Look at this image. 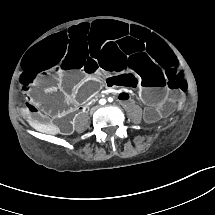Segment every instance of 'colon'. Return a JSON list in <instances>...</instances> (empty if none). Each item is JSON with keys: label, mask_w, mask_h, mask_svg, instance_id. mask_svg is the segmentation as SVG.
<instances>
[{"label": "colon", "mask_w": 215, "mask_h": 215, "mask_svg": "<svg viewBox=\"0 0 215 215\" xmlns=\"http://www.w3.org/2000/svg\"><path fill=\"white\" fill-rule=\"evenodd\" d=\"M36 103H20L19 108L26 115H34L39 111L38 105H42V103L38 101H36Z\"/></svg>", "instance_id": "obj_1"}]
</instances>
